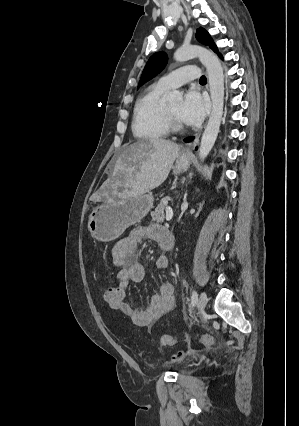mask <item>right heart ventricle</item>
Segmentation results:
<instances>
[{"label": "right heart ventricle", "mask_w": 299, "mask_h": 426, "mask_svg": "<svg viewBox=\"0 0 299 426\" xmlns=\"http://www.w3.org/2000/svg\"><path fill=\"white\" fill-rule=\"evenodd\" d=\"M169 88L160 82L150 85L136 102L133 115V134L142 140H159L169 130L165 122L166 93Z\"/></svg>", "instance_id": "obj_1"}]
</instances>
